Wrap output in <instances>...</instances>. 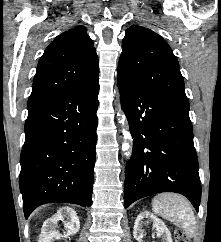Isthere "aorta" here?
Returning a JSON list of instances; mask_svg holds the SVG:
<instances>
[{
	"instance_id": "762f6f07",
	"label": "aorta",
	"mask_w": 221,
	"mask_h": 242,
	"mask_svg": "<svg viewBox=\"0 0 221 242\" xmlns=\"http://www.w3.org/2000/svg\"><path fill=\"white\" fill-rule=\"evenodd\" d=\"M123 136H124L125 139H127V138L129 137V133H128L127 131L124 130V131H123ZM129 148H130L129 143L124 142V143L122 144V150H123V151H127V150H129Z\"/></svg>"
}]
</instances>
